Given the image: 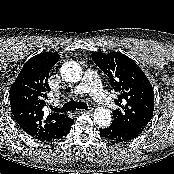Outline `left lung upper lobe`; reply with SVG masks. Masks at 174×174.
Listing matches in <instances>:
<instances>
[{
	"mask_svg": "<svg viewBox=\"0 0 174 174\" xmlns=\"http://www.w3.org/2000/svg\"><path fill=\"white\" fill-rule=\"evenodd\" d=\"M95 64L108 76L118 94L113 122L142 133L153 116L154 91L144 72L120 52H93Z\"/></svg>",
	"mask_w": 174,
	"mask_h": 174,
	"instance_id": "left-lung-upper-lobe-1",
	"label": "left lung upper lobe"
}]
</instances>
